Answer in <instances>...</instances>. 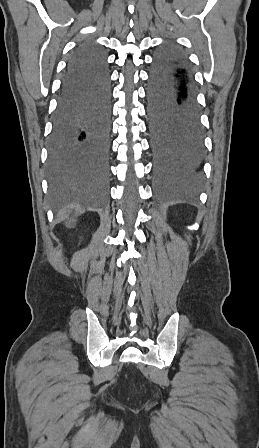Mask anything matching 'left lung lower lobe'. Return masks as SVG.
I'll return each mask as SVG.
<instances>
[{
    "label": "left lung lower lobe",
    "mask_w": 259,
    "mask_h": 448,
    "mask_svg": "<svg viewBox=\"0 0 259 448\" xmlns=\"http://www.w3.org/2000/svg\"><path fill=\"white\" fill-rule=\"evenodd\" d=\"M148 131L155 176L168 189L194 187L205 155L191 65L167 46L154 57L147 89Z\"/></svg>",
    "instance_id": "1"
}]
</instances>
